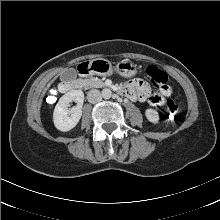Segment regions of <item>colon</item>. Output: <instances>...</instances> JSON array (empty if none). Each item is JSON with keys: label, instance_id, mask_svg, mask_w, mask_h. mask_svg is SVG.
<instances>
[{"label": "colon", "instance_id": "5ec220e1", "mask_svg": "<svg viewBox=\"0 0 220 220\" xmlns=\"http://www.w3.org/2000/svg\"><path fill=\"white\" fill-rule=\"evenodd\" d=\"M146 73L149 77L150 86L153 89L161 90L167 86L168 78L165 72L160 70L158 67L154 65H149L146 69ZM156 102L160 103V105L165 104V114L166 118L171 121L175 122L178 119V106L173 100H161L159 98L155 99Z\"/></svg>", "mask_w": 220, "mask_h": 220}]
</instances>
